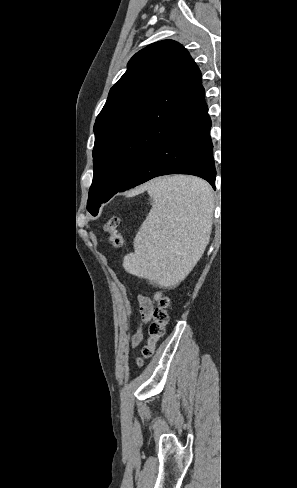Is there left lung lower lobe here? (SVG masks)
Segmentation results:
<instances>
[{"instance_id": "obj_1", "label": "left lung lower lobe", "mask_w": 297, "mask_h": 488, "mask_svg": "<svg viewBox=\"0 0 297 488\" xmlns=\"http://www.w3.org/2000/svg\"><path fill=\"white\" fill-rule=\"evenodd\" d=\"M210 128L206 107L161 143L118 192L167 174L195 175L208 181L215 189L216 170Z\"/></svg>"}]
</instances>
